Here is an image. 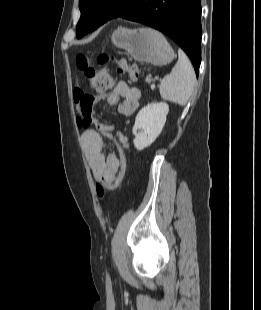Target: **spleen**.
I'll list each match as a JSON object with an SVG mask.
<instances>
[{
  "instance_id": "1",
  "label": "spleen",
  "mask_w": 261,
  "mask_h": 310,
  "mask_svg": "<svg viewBox=\"0 0 261 310\" xmlns=\"http://www.w3.org/2000/svg\"><path fill=\"white\" fill-rule=\"evenodd\" d=\"M195 81V71L190 60L179 50L176 65L160 83V95L164 100L184 106L190 99Z\"/></svg>"
}]
</instances>
